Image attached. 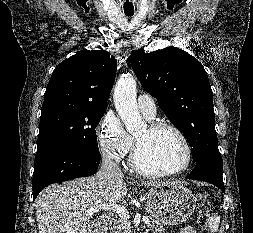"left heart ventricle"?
I'll list each match as a JSON object with an SVG mask.
<instances>
[{"mask_svg": "<svg viewBox=\"0 0 253 233\" xmlns=\"http://www.w3.org/2000/svg\"><path fill=\"white\" fill-rule=\"evenodd\" d=\"M135 138L139 142V159L149 170H173L184 161L185 152L179 138L169 130L151 132L148 126Z\"/></svg>", "mask_w": 253, "mask_h": 233, "instance_id": "b2bd125f", "label": "left heart ventricle"}]
</instances>
